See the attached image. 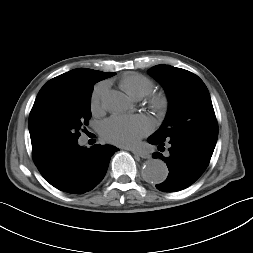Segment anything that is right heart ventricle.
Segmentation results:
<instances>
[{"instance_id": "e07e8e85", "label": "right heart ventricle", "mask_w": 253, "mask_h": 253, "mask_svg": "<svg viewBox=\"0 0 253 253\" xmlns=\"http://www.w3.org/2000/svg\"><path fill=\"white\" fill-rule=\"evenodd\" d=\"M120 85L127 94L134 98L146 96L154 87V83L150 78L139 73L125 74L120 81Z\"/></svg>"}]
</instances>
